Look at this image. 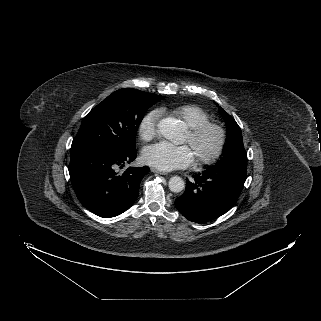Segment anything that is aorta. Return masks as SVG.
<instances>
[{"label":"aorta","mask_w":321,"mask_h":321,"mask_svg":"<svg viewBox=\"0 0 321 321\" xmlns=\"http://www.w3.org/2000/svg\"><path fill=\"white\" fill-rule=\"evenodd\" d=\"M182 126L174 118H164L158 123L159 133L167 140L176 143L182 136ZM169 189L179 193L185 188L184 180L179 176H173L168 183Z\"/></svg>","instance_id":"762f6f07"}]
</instances>
